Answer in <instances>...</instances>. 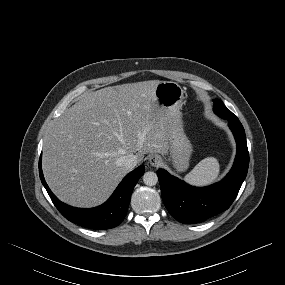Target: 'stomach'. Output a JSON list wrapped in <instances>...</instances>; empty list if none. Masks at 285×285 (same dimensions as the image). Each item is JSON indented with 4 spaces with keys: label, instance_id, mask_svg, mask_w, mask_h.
<instances>
[{
    "label": "stomach",
    "instance_id": "obj_1",
    "mask_svg": "<svg viewBox=\"0 0 285 285\" xmlns=\"http://www.w3.org/2000/svg\"><path fill=\"white\" fill-rule=\"evenodd\" d=\"M184 89L176 82L160 81L155 88L159 107L165 111L168 120L169 151L173 166L177 171H186L193 152L185 135L180 109L184 99Z\"/></svg>",
    "mask_w": 285,
    "mask_h": 285
}]
</instances>
